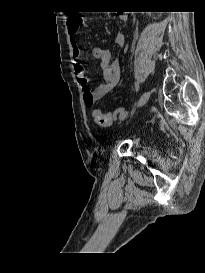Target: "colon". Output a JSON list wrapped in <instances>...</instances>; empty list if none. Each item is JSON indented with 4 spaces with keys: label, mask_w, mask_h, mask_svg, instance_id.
<instances>
[{
    "label": "colon",
    "mask_w": 205,
    "mask_h": 273,
    "mask_svg": "<svg viewBox=\"0 0 205 273\" xmlns=\"http://www.w3.org/2000/svg\"><path fill=\"white\" fill-rule=\"evenodd\" d=\"M79 27L82 26V20L78 17L75 18ZM128 116V110L126 108H118L112 112L104 113L101 110H95L93 112L94 121L100 126H110L117 120H125Z\"/></svg>",
    "instance_id": "obj_1"
}]
</instances>
